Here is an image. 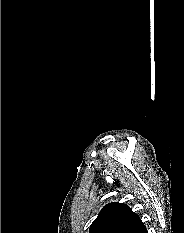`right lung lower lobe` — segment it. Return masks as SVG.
Segmentation results:
<instances>
[{
    "label": "right lung lower lobe",
    "mask_w": 184,
    "mask_h": 233,
    "mask_svg": "<svg viewBox=\"0 0 184 233\" xmlns=\"http://www.w3.org/2000/svg\"><path fill=\"white\" fill-rule=\"evenodd\" d=\"M137 233H147L146 227L143 225V226L137 231Z\"/></svg>",
    "instance_id": "98d812e1"
}]
</instances>
